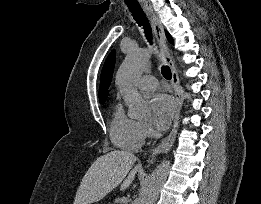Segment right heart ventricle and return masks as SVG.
Returning a JSON list of instances; mask_svg holds the SVG:
<instances>
[{
    "mask_svg": "<svg viewBox=\"0 0 261 204\" xmlns=\"http://www.w3.org/2000/svg\"><path fill=\"white\" fill-rule=\"evenodd\" d=\"M110 138L116 147L128 151L139 149L143 143L141 123L126 115L120 104L115 107L112 115Z\"/></svg>",
    "mask_w": 261,
    "mask_h": 204,
    "instance_id": "e07e8e85",
    "label": "right heart ventricle"
}]
</instances>
